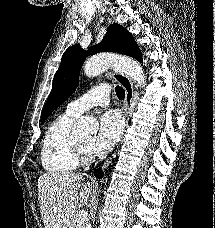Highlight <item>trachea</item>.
<instances>
[{"label":"trachea","instance_id":"trachea-1","mask_svg":"<svg viewBox=\"0 0 215 228\" xmlns=\"http://www.w3.org/2000/svg\"><path fill=\"white\" fill-rule=\"evenodd\" d=\"M115 92H116V95L119 98V100H123L124 99L125 91H124V89L122 87L117 86L115 88Z\"/></svg>","mask_w":215,"mask_h":228}]
</instances>
